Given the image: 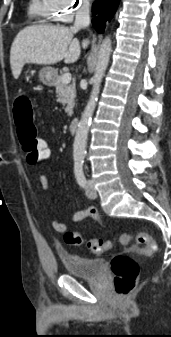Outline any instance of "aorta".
Returning a JSON list of instances; mask_svg holds the SVG:
<instances>
[{"label": "aorta", "mask_w": 171, "mask_h": 337, "mask_svg": "<svg viewBox=\"0 0 171 337\" xmlns=\"http://www.w3.org/2000/svg\"><path fill=\"white\" fill-rule=\"evenodd\" d=\"M112 51V43L109 36H107L102 44L100 45V49L98 52L97 63L95 67V73L92 77L93 87L90 94L89 101L82 113L80 122L78 124V128L76 131L74 144H73V156L83 158L86 154V144L87 137L89 133V128L92 120V115L94 113L97 97L99 94V89L101 85L102 78L107 69L110 54Z\"/></svg>", "instance_id": "aorta-1"}]
</instances>
